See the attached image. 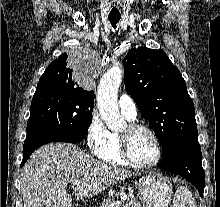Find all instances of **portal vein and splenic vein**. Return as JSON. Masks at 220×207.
Here are the masks:
<instances>
[{
	"mask_svg": "<svg viewBox=\"0 0 220 207\" xmlns=\"http://www.w3.org/2000/svg\"><path fill=\"white\" fill-rule=\"evenodd\" d=\"M79 183L78 180H74L72 181V185L75 186ZM120 206V201H116V202H113L109 205V207H119Z\"/></svg>",
	"mask_w": 220,
	"mask_h": 207,
	"instance_id": "1",
	"label": "portal vein and splenic vein"
}]
</instances>
